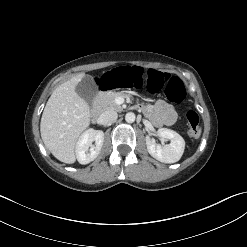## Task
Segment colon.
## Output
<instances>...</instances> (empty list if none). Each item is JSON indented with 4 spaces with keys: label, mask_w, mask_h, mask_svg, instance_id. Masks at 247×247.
Here are the masks:
<instances>
[{
    "label": "colon",
    "mask_w": 247,
    "mask_h": 247,
    "mask_svg": "<svg viewBox=\"0 0 247 247\" xmlns=\"http://www.w3.org/2000/svg\"><path fill=\"white\" fill-rule=\"evenodd\" d=\"M88 83L94 89L144 86L148 91L157 92L164 88L166 97L174 103H180L186 96L184 84L178 77H171L156 69L147 70L143 65L134 63L103 71L94 70L88 76ZM186 120L189 134L192 137H198L201 132L198 114L189 110L186 113Z\"/></svg>",
    "instance_id": "obj_1"
}]
</instances>
